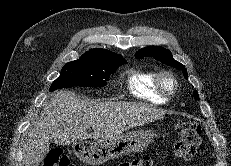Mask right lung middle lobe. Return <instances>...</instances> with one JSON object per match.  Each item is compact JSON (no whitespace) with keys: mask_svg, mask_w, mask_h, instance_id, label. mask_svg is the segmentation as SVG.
Segmentation results:
<instances>
[{"mask_svg":"<svg viewBox=\"0 0 231 166\" xmlns=\"http://www.w3.org/2000/svg\"><path fill=\"white\" fill-rule=\"evenodd\" d=\"M120 55L104 58H80L68 62L61 70L60 76L52 83L50 91L73 86L103 87L107 84L110 75L126 64Z\"/></svg>","mask_w":231,"mask_h":166,"instance_id":"dd1d6c3e","label":"right lung middle lobe"}]
</instances>
